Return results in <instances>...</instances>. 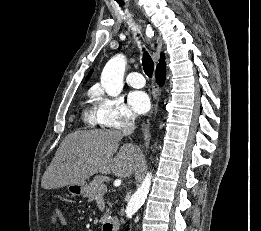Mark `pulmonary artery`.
<instances>
[{"mask_svg":"<svg viewBox=\"0 0 261 231\" xmlns=\"http://www.w3.org/2000/svg\"><path fill=\"white\" fill-rule=\"evenodd\" d=\"M127 83L133 88H142L145 85V79L140 72L133 71L128 74Z\"/></svg>","mask_w":261,"mask_h":231,"instance_id":"e3ab8cb5","label":"pulmonary artery"}]
</instances>
